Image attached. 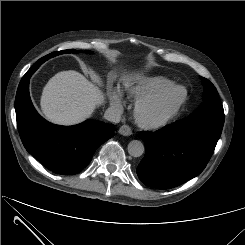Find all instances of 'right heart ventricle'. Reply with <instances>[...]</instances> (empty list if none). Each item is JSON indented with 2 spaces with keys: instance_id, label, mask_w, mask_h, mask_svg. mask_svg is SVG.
<instances>
[{
  "instance_id": "e07e8e85",
  "label": "right heart ventricle",
  "mask_w": 245,
  "mask_h": 245,
  "mask_svg": "<svg viewBox=\"0 0 245 245\" xmlns=\"http://www.w3.org/2000/svg\"><path fill=\"white\" fill-rule=\"evenodd\" d=\"M172 85V81L161 76H152L137 82L125 84L123 92L132 100L138 101L144 97L157 94Z\"/></svg>"
}]
</instances>
